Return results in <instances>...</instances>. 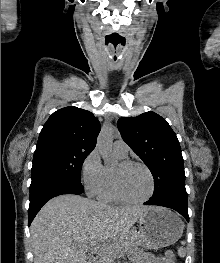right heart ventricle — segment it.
<instances>
[{
  "label": "right heart ventricle",
  "mask_w": 220,
  "mask_h": 263,
  "mask_svg": "<svg viewBox=\"0 0 220 263\" xmlns=\"http://www.w3.org/2000/svg\"><path fill=\"white\" fill-rule=\"evenodd\" d=\"M117 156L120 158H124L119 154H117ZM97 195L101 200L106 202H112L118 200L113 191L112 169L109 167H104V181Z\"/></svg>",
  "instance_id": "1"
}]
</instances>
